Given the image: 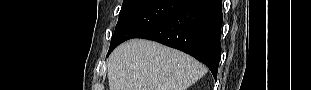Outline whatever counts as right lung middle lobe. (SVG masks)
Returning <instances> with one entry per match:
<instances>
[{"label": "right lung middle lobe", "mask_w": 311, "mask_h": 90, "mask_svg": "<svg viewBox=\"0 0 311 90\" xmlns=\"http://www.w3.org/2000/svg\"><path fill=\"white\" fill-rule=\"evenodd\" d=\"M188 0H124L109 53L120 43L159 24Z\"/></svg>", "instance_id": "dd1d6c3e"}]
</instances>
